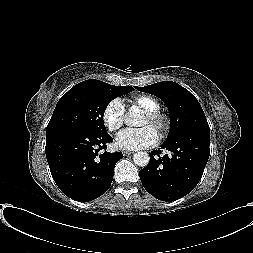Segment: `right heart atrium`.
Returning <instances> with one entry per match:
<instances>
[{
  "label": "right heart atrium",
  "mask_w": 253,
  "mask_h": 253,
  "mask_svg": "<svg viewBox=\"0 0 253 253\" xmlns=\"http://www.w3.org/2000/svg\"><path fill=\"white\" fill-rule=\"evenodd\" d=\"M102 119L105 127L111 132L122 129L125 123V107L121 99H112L104 108Z\"/></svg>",
  "instance_id": "obj_1"
}]
</instances>
